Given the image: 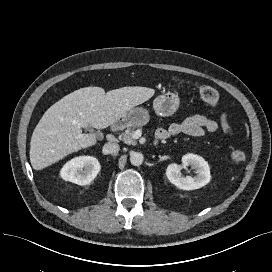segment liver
Returning a JSON list of instances; mask_svg holds the SVG:
<instances>
[{
    "instance_id": "liver-1",
    "label": "liver",
    "mask_w": 272,
    "mask_h": 272,
    "mask_svg": "<svg viewBox=\"0 0 272 272\" xmlns=\"http://www.w3.org/2000/svg\"><path fill=\"white\" fill-rule=\"evenodd\" d=\"M154 93L152 88L129 86L107 93L101 87H85L66 95L44 113L34 129L30 142L33 169L42 170L95 145V135L83 134L82 128L104 129Z\"/></svg>"
}]
</instances>
